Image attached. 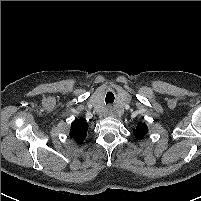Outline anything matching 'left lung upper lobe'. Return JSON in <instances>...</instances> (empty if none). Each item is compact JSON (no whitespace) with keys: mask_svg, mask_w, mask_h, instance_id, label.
<instances>
[{"mask_svg":"<svg viewBox=\"0 0 201 201\" xmlns=\"http://www.w3.org/2000/svg\"><path fill=\"white\" fill-rule=\"evenodd\" d=\"M148 133V128L145 123H138L136 129L133 130V134L137 139H142Z\"/></svg>","mask_w":201,"mask_h":201,"instance_id":"obj_1","label":"left lung upper lobe"}]
</instances>
